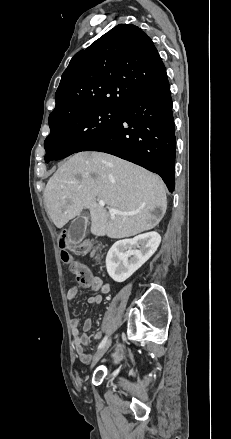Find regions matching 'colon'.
<instances>
[{"label": "colon", "mask_w": 231, "mask_h": 439, "mask_svg": "<svg viewBox=\"0 0 231 439\" xmlns=\"http://www.w3.org/2000/svg\"><path fill=\"white\" fill-rule=\"evenodd\" d=\"M58 244L62 261L68 264L70 271L76 276L79 284L86 287L91 281V272L85 265L73 258L69 250L68 236L65 231L59 233ZM73 246L79 248V251L84 254H89L94 258L98 257V252L95 249L97 243L95 241H92L91 243H86L84 240L75 241Z\"/></svg>", "instance_id": "1"}]
</instances>
